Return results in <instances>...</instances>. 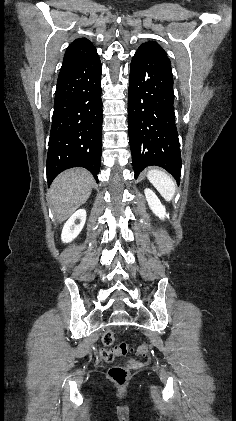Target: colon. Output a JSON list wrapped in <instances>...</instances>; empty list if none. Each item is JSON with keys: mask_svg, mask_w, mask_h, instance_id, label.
I'll use <instances>...</instances> for the list:
<instances>
[{"mask_svg": "<svg viewBox=\"0 0 236 421\" xmlns=\"http://www.w3.org/2000/svg\"><path fill=\"white\" fill-rule=\"evenodd\" d=\"M114 343V333L111 330H107L102 337V349L101 356L106 361H112L116 356L126 355L132 351H135L137 355L145 357L148 355L149 347L148 344L143 343L133 349L127 343H121L115 348H111ZM109 377L117 384L123 385L129 378L130 372L127 368L122 366H113L109 369Z\"/></svg>", "mask_w": 236, "mask_h": 421, "instance_id": "obj_1", "label": "colon"}]
</instances>
